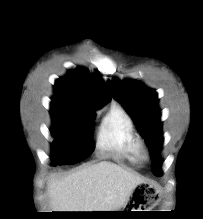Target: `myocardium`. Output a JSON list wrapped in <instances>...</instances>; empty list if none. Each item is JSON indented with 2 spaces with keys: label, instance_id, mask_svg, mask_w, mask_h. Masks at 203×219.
<instances>
[{
  "label": "myocardium",
  "instance_id": "obj_1",
  "mask_svg": "<svg viewBox=\"0 0 203 219\" xmlns=\"http://www.w3.org/2000/svg\"><path fill=\"white\" fill-rule=\"evenodd\" d=\"M140 155L143 158L148 157V152L146 151V149L144 148V146L141 143H140Z\"/></svg>",
  "mask_w": 203,
  "mask_h": 219
}]
</instances>
